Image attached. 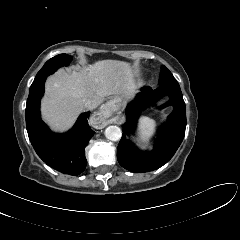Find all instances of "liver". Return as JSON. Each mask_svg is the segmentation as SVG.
<instances>
[{"mask_svg": "<svg viewBox=\"0 0 240 240\" xmlns=\"http://www.w3.org/2000/svg\"><path fill=\"white\" fill-rule=\"evenodd\" d=\"M137 87L130 64L123 61L102 60L71 74L60 69L46 81L42 117L55 131H65L87 100L98 106L107 96L130 93Z\"/></svg>", "mask_w": 240, "mask_h": 240, "instance_id": "obj_1", "label": "liver"}]
</instances>
